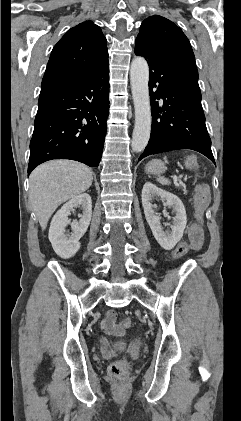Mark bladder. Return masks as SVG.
<instances>
[{"instance_id": "31cf9c89", "label": "bladder", "mask_w": 241, "mask_h": 421, "mask_svg": "<svg viewBox=\"0 0 241 421\" xmlns=\"http://www.w3.org/2000/svg\"><path fill=\"white\" fill-rule=\"evenodd\" d=\"M114 346H115L116 349L123 350V349L127 348L128 343L125 342V341H119V342H116Z\"/></svg>"}]
</instances>
